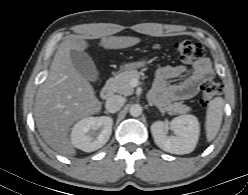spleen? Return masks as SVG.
I'll return each mask as SVG.
<instances>
[{"label": "spleen", "instance_id": "1", "mask_svg": "<svg viewBox=\"0 0 248 195\" xmlns=\"http://www.w3.org/2000/svg\"><path fill=\"white\" fill-rule=\"evenodd\" d=\"M224 100L216 97L211 100L207 107L205 130L206 138L210 142L219 132L223 116Z\"/></svg>", "mask_w": 248, "mask_h": 195}]
</instances>
